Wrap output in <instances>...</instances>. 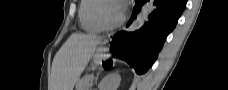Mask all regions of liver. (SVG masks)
Returning <instances> with one entry per match:
<instances>
[{
	"instance_id": "6515ba94",
	"label": "liver",
	"mask_w": 228,
	"mask_h": 90,
	"mask_svg": "<svg viewBox=\"0 0 228 90\" xmlns=\"http://www.w3.org/2000/svg\"><path fill=\"white\" fill-rule=\"evenodd\" d=\"M100 43L101 37L99 36L73 33L54 57L53 90H73Z\"/></svg>"
}]
</instances>
